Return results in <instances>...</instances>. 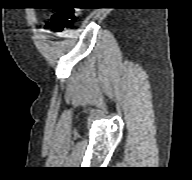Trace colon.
<instances>
[{"mask_svg": "<svg viewBox=\"0 0 192 180\" xmlns=\"http://www.w3.org/2000/svg\"><path fill=\"white\" fill-rule=\"evenodd\" d=\"M79 10L77 8L58 9L51 18V26L55 32L61 33L71 27L78 19Z\"/></svg>", "mask_w": 192, "mask_h": 180, "instance_id": "1", "label": "colon"}]
</instances>
